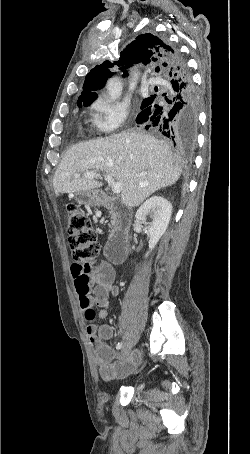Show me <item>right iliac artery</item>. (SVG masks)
<instances>
[{
    "instance_id": "obj_1",
    "label": "right iliac artery",
    "mask_w": 250,
    "mask_h": 454,
    "mask_svg": "<svg viewBox=\"0 0 250 454\" xmlns=\"http://www.w3.org/2000/svg\"><path fill=\"white\" fill-rule=\"evenodd\" d=\"M121 347H122V342H118L117 345H116V349L119 350V349H121Z\"/></svg>"
}]
</instances>
